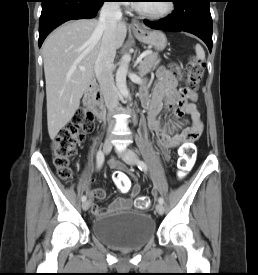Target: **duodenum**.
Returning <instances> with one entry per match:
<instances>
[{
	"label": "duodenum",
	"mask_w": 258,
	"mask_h": 275,
	"mask_svg": "<svg viewBox=\"0 0 258 275\" xmlns=\"http://www.w3.org/2000/svg\"><path fill=\"white\" fill-rule=\"evenodd\" d=\"M102 95L94 81H89L84 94V103L93 112L97 119H102L104 115L102 105Z\"/></svg>",
	"instance_id": "410a0bca"
}]
</instances>
